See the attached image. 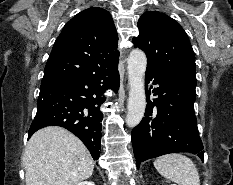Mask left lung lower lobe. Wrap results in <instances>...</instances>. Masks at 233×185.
<instances>
[{
  "mask_svg": "<svg viewBox=\"0 0 233 185\" xmlns=\"http://www.w3.org/2000/svg\"><path fill=\"white\" fill-rule=\"evenodd\" d=\"M153 80V81H152ZM154 96L149 100L152 86ZM196 78L147 68L145 116L132 130V146L137 168L141 162L168 153L189 152L204 158L194 113Z\"/></svg>",
  "mask_w": 233,
  "mask_h": 185,
  "instance_id": "1",
  "label": "left lung lower lobe"
}]
</instances>
